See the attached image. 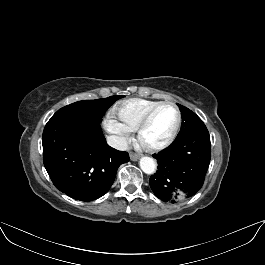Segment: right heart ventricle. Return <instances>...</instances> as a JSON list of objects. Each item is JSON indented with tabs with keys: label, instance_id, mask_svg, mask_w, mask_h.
Returning a JSON list of instances; mask_svg holds the SVG:
<instances>
[{
	"label": "right heart ventricle",
	"instance_id": "obj_1",
	"mask_svg": "<svg viewBox=\"0 0 265 265\" xmlns=\"http://www.w3.org/2000/svg\"><path fill=\"white\" fill-rule=\"evenodd\" d=\"M158 103H160V101L144 98H131L117 103L113 107L112 113L129 131H135L145 113Z\"/></svg>",
	"mask_w": 265,
	"mask_h": 265
}]
</instances>
